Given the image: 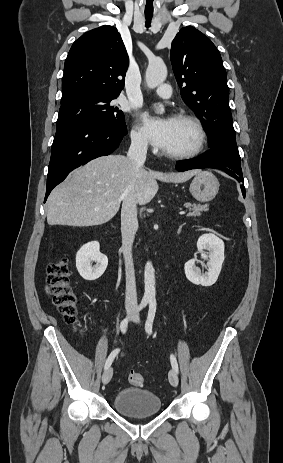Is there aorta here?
I'll return each mask as SVG.
<instances>
[{"mask_svg":"<svg viewBox=\"0 0 283 463\" xmlns=\"http://www.w3.org/2000/svg\"><path fill=\"white\" fill-rule=\"evenodd\" d=\"M167 77V68L163 61L150 62L146 70V84L150 89H153L163 83ZM157 113H164V107L158 105ZM154 268L150 261L145 265L144 270V299H155V274Z\"/></svg>","mask_w":283,"mask_h":463,"instance_id":"obj_1","label":"aorta"}]
</instances>
